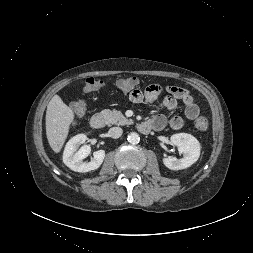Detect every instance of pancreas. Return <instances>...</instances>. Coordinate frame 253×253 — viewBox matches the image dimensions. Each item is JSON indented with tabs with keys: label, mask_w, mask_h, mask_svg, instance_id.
<instances>
[{
	"label": "pancreas",
	"mask_w": 253,
	"mask_h": 253,
	"mask_svg": "<svg viewBox=\"0 0 253 253\" xmlns=\"http://www.w3.org/2000/svg\"><path fill=\"white\" fill-rule=\"evenodd\" d=\"M103 117L105 118V121L109 125H127L131 124V121H129L127 118L124 117V115L117 110H109L105 109L101 112Z\"/></svg>",
	"instance_id": "1"
}]
</instances>
